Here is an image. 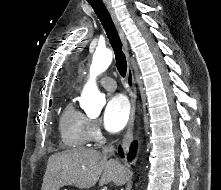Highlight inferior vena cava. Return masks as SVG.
Wrapping results in <instances>:
<instances>
[{
  "instance_id": "1",
  "label": "inferior vena cava",
  "mask_w": 221,
  "mask_h": 190,
  "mask_svg": "<svg viewBox=\"0 0 221 190\" xmlns=\"http://www.w3.org/2000/svg\"><path fill=\"white\" fill-rule=\"evenodd\" d=\"M114 151H115V149H114V146H113V145L104 146V147L102 148V153H103L104 155H106V156H111V155H113V154H114Z\"/></svg>"
}]
</instances>
